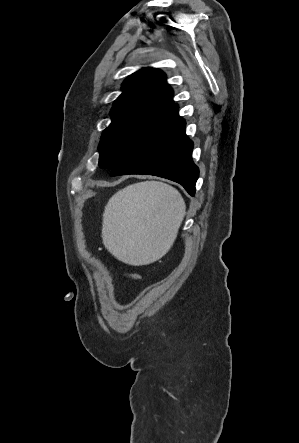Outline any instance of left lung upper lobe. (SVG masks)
<instances>
[{
    "label": "left lung upper lobe",
    "instance_id": "obj_1",
    "mask_svg": "<svg viewBox=\"0 0 299 443\" xmlns=\"http://www.w3.org/2000/svg\"><path fill=\"white\" fill-rule=\"evenodd\" d=\"M122 94L111 109L112 122L105 129L98 150L99 167L111 169L127 150L174 105L166 75L142 68L122 84Z\"/></svg>",
    "mask_w": 299,
    "mask_h": 443
}]
</instances>
